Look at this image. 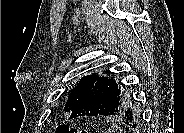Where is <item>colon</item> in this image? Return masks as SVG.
Listing matches in <instances>:
<instances>
[{
    "instance_id": "5ec220e1",
    "label": "colon",
    "mask_w": 184,
    "mask_h": 133,
    "mask_svg": "<svg viewBox=\"0 0 184 133\" xmlns=\"http://www.w3.org/2000/svg\"><path fill=\"white\" fill-rule=\"evenodd\" d=\"M56 133H86V131H83L80 128L70 126L68 124H60L56 128Z\"/></svg>"
}]
</instances>
